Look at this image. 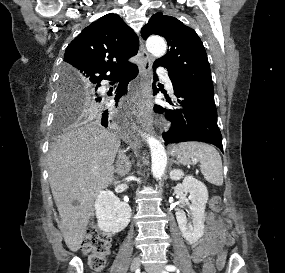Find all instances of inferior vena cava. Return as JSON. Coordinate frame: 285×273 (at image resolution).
Wrapping results in <instances>:
<instances>
[{
    "label": "inferior vena cava",
    "mask_w": 285,
    "mask_h": 273,
    "mask_svg": "<svg viewBox=\"0 0 285 273\" xmlns=\"http://www.w3.org/2000/svg\"><path fill=\"white\" fill-rule=\"evenodd\" d=\"M118 160H119V168H121L122 171H124V168H125V171H126L128 169L127 164L125 163V165L123 166L124 160L120 156L118 157Z\"/></svg>",
    "instance_id": "obj_1"
}]
</instances>
